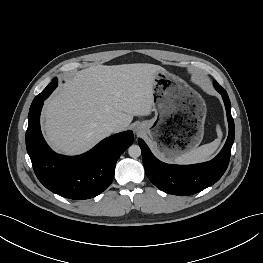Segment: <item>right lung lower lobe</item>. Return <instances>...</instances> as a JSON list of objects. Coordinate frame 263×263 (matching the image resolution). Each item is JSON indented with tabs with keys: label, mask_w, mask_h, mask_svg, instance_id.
I'll return each mask as SVG.
<instances>
[{
	"label": "right lung lower lobe",
	"mask_w": 263,
	"mask_h": 263,
	"mask_svg": "<svg viewBox=\"0 0 263 263\" xmlns=\"http://www.w3.org/2000/svg\"><path fill=\"white\" fill-rule=\"evenodd\" d=\"M54 87L44 89L31 104L26 131L27 152L37 178L47 189L74 200L92 198L111 184L116 162L133 143V133L126 131L108 137L79 156L55 153L45 142L40 129L43 102Z\"/></svg>",
	"instance_id": "right-lung-lower-lobe-1"
}]
</instances>
